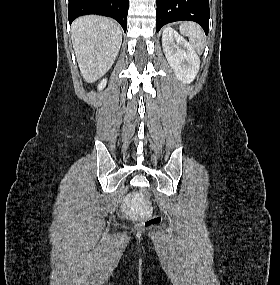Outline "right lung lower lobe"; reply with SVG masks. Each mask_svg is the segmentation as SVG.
<instances>
[{"mask_svg": "<svg viewBox=\"0 0 280 285\" xmlns=\"http://www.w3.org/2000/svg\"><path fill=\"white\" fill-rule=\"evenodd\" d=\"M129 0H69V23L82 15L98 14L117 20L126 32Z\"/></svg>", "mask_w": 280, "mask_h": 285, "instance_id": "98d812e1", "label": "right lung lower lobe"}]
</instances>
